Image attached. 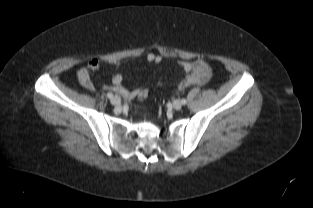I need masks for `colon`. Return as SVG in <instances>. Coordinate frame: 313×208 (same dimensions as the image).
I'll return each mask as SVG.
<instances>
[{
    "label": "colon",
    "mask_w": 313,
    "mask_h": 208,
    "mask_svg": "<svg viewBox=\"0 0 313 208\" xmlns=\"http://www.w3.org/2000/svg\"><path fill=\"white\" fill-rule=\"evenodd\" d=\"M137 96L140 100H145L148 96V91L146 89H141V90H139Z\"/></svg>",
    "instance_id": "colon-1"
}]
</instances>
